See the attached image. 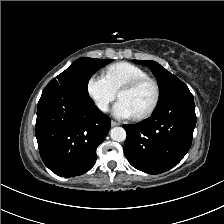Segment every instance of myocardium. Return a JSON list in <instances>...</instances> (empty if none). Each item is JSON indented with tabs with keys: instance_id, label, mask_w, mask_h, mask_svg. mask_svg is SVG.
<instances>
[{
	"instance_id": "1",
	"label": "myocardium",
	"mask_w": 224,
	"mask_h": 224,
	"mask_svg": "<svg viewBox=\"0 0 224 224\" xmlns=\"http://www.w3.org/2000/svg\"><path fill=\"white\" fill-rule=\"evenodd\" d=\"M145 83H148L153 87L154 96H153V99H152L151 103L149 104V106L144 111H142L141 113H139L135 116L136 119H144V118L148 117L149 115H151L153 113V111L156 109V107L159 103V100H160V96H161V90H160V86H159L158 82L155 79L148 77V76L140 77V78H136V79H133V80L125 83L117 91V97H119V94L121 92L134 90Z\"/></svg>"
}]
</instances>
